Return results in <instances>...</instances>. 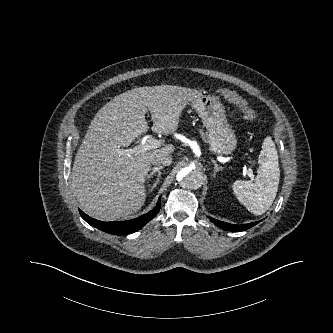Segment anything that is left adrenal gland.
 <instances>
[{
  "label": "left adrenal gland",
  "instance_id": "left-adrenal-gland-1",
  "mask_svg": "<svg viewBox=\"0 0 333 333\" xmlns=\"http://www.w3.org/2000/svg\"><path fill=\"white\" fill-rule=\"evenodd\" d=\"M214 163V173H213V177L216 176V173L219 171H222V168L218 166V164L213 160Z\"/></svg>",
  "mask_w": 333,
  "mask_h": 333
}]
</instances>
